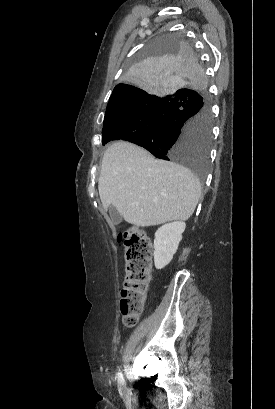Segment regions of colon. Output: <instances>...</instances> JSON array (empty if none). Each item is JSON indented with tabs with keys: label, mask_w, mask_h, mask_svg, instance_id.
<instances>
[{
	"label": "colon",
	"mask_w": 275,
	"mask_h": 409,
	"mask_svg": "<svg viewBox=\"0 0 275 409\" xmlns=\"http://www.w3.org/2000/svg\"><path fill=\"white\" fill-rule=\"evenodd\" d=\"M117 242L125 250V274L121 289L120 312L126 327L140 319L151 283L150 260L153 246L139 227L119 232Z\"/></svg>",
	"instance_id": "5ec220e1"
}]
</instances>
